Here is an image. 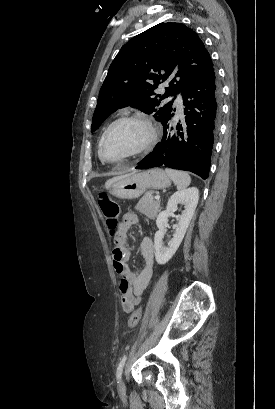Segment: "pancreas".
Returning <instances> with one entry per match:
<instances>
[{
  "label": "pancreas",
  "mask_w": 275,
  "mask_h": 409,
  "mask_svg": "<svg viewBox=\"0 0 275 409\" xmlns=\"http://www.w3.org/2000/svg\"><path fill=\"white\" fill-rule=\"evenodd\" d=\"M160 207V200H154L152 190H147L145 194H143L142 198H140L139 202H137V211L140 213H144L146 217L149 219H155L157 217L158 209Z\"/></svg>",
  "instance_id": "1"
}]
</instances>
